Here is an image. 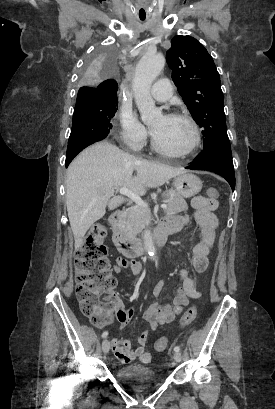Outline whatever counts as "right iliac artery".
<instances>
[{
	"label": "right iliac artery",
	"mask_w": 275,
	"mask_h": 409,
	"mask_svg": "<svg viewBox=\"0 0 275 409\" xmlns=\"http://www.w3.org/2000/svg\"><path fill=\"white\" fill-rule=\"evenodd\" d=\"M101 336H102V338H106L108 336V332L104 331Z\"/></svg>",
	"instance_id": "right-iliac-artery-1"
}]
</instances>
